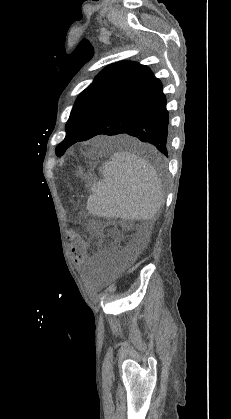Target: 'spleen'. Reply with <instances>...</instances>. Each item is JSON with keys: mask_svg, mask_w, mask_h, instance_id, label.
I'll list each match as a JSON object with an SVG mask.
<instances>
[{"mask_svg": "<svg viewBox=\"0 0 231 419\" xmlns=\"http://www.w3.org/2000/svg\"><path fill=\"white\" fill-rule=\"evenodd\" d=\"M103 179L92 186L87 209L97 216L150 220L163 203L162 182L144 158L116 152L104 163Z\"/></svg>", "mask_w": 231, "mask_h": 419, "instance_id": "spleen-1", "label": "spleen"}]
</instances>
